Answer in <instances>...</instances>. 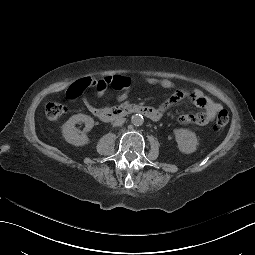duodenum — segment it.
<instances>
[{"label": "duodenum", "instance_id": "duodenum-1", "mask_svg": "<svg viewBox=\"0 0 255 255\" xmlns=\"http://www.w3.org/2000/svg\"><path fill=\"white\" fill-rule=\"evenodd\" d=\"M92 113L102 121L110 122L123 118L129 114H141L147 118L158 121L160 114L157 109L139 104H127L123 106L107 107V108H94Z\"/></svg>", "mask_w": 255, "mask_h": 255}]
</instances>
